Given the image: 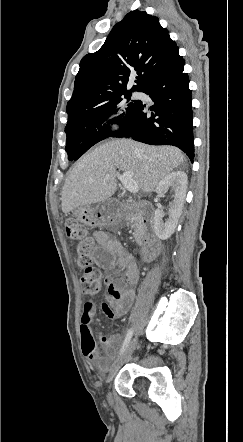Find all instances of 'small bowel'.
Wrapping results in <instances>:
<instances>
[{
    "instance_id": "obj_1",
    "label": "small bowel",
    "mask_w": 243,
    "mask_h": 442,
    "mask_svg": "<svg viewBox=\"0 0 243 442\" xmlns=\"http://www.w3.org/2000/svg\"><path fill=\"white\" fill-rule=\"evenodd\" d=\"M94 237L99 248L93 255V261L103 269L114 270L117 277L107 279L106 301L101 304V310L109 320H117L126 315L135 299V286L139 281V269L134 257L124 246L105 231H95ZM97 311L92 301L83 304L80 315V337L83 355L92 363L95 369L104 372L108 360L112 358L121 341L120 336L100 334V341L105 350L102 355L96 348L91 322Z\"/></svg>"
}]
</instances>
